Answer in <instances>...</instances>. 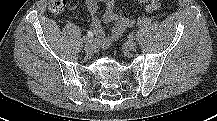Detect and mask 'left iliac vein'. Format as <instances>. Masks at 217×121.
<instances>
[{
    "label": "left iliac vein",
    "instance_id": "4c4485c4",
    "mask_svg": "<svg viewBox=\"0 0 217 121\" xmlns=\"http://www.w3.org/2000/svg\"><path fill=\"white\" fill-rule=\"evenodd\" d=\"M136 48V42L132 39H129L124 43V49L126 51H133Z\"/></svg>",
    "mask_w": 217,
    "mask_h": 121
}]
</instances>
